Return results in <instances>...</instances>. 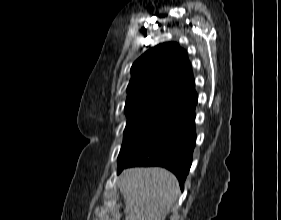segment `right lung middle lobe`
<instances>
[{
  "label": "right lung middle lobe",
  "mask_w": 281,
  "mask_h": 220,
  "mask_svg": "<svg viewBox=\"0 0 281 220\" xmlns=\"http://www.w3.org/2000/svg\"><path fill=\"white\" fill-rule=\"evenodd\" d=\"M166 117L128 118L118 156L119 168L130 161L168 122Z\"/></svg>",
  "instance_id": "dd1d6c3e"
}]
</instances>
